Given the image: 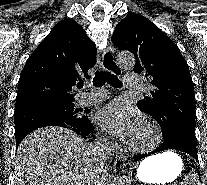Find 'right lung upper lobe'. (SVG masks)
I'll use <instances>...</instances> for the list:
<instances>
[{"mask_svg":"<svg viewBox=\"0 0 207 185\" xmlns=\"http://www.w3.org/2000/svg\"><path fill=\"white\" fill-rule=\"evenodd\" d=\"M96 47L74 20L57 23L27 60L19 79L15 111L42 104H70L72 86L89 78Z\"/></svg>","mask_w":207,"mask_h":185,"instance_id":"obj_1","label":"right lung upper lobe"}]
</instances>
